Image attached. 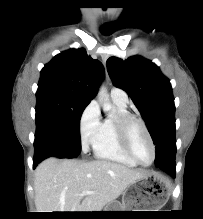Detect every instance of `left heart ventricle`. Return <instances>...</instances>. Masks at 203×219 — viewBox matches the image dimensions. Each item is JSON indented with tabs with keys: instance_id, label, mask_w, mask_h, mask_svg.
Returning <instances> with one entry per match:
<instances>
[{
	"instance_id": "b2bd125f",
	"label": "left heart ventricle",
	"mask_w": 203,
	"mask_h": 219,
	"mask_svg": "<svg viewBox=\"0 0 203 219\" xmlns=\"http://www.w3.org/2000/svg\"><path fill=\"white\" fill-rule=\"evenodd\" d=\"M131 146L135 156L142 163H149L152 160L153 152L150 142L140 125H135L131 131Z\"/></svg>"
}]
</instances>
